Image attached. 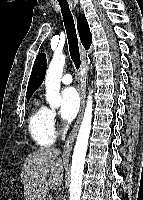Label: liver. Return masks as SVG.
I'll return each instance as SVG.
<instances>
[{
	"mask_svg": "<svg viewBox=\"0 0 143 200\" xmlns=\"http://www.w3.org/2000/svg\"><path fill=\"white\" fill-rule=\"evenodd\" d=\"M59 155V149L40 148L26 157L20 175L25 200H44L50 189L61 188L64 163Z\"/></svg>",
	"mask_w": 143,
	"mask_h": 200,
	"instance_id": "obj_1",
	"label": "liver"
}]
</instances>
